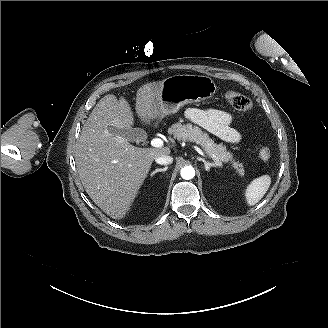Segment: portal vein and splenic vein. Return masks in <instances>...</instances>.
I'll list each match as a JSON object with an SVG mask.
<instances>
[{
	"label": "portal vein and splenic vein",
	"mask_w": 328,
	"mask_h": 328,
	"mask_svg": "<svg viewBox=\"0 0 328 328\" xmlns=\"http://www.w3.org/2000/svg\"><path fill=\"white\" fill-rule=\"evenodd\" d=\"M162 140L159 139V138H153L151 141H150V145L152 147H161L162 146ZM191 147H194L195 150H197L198 154H201V155H204V157H206V159H208V161H211V158H209V155L208 154H205V152H203L200 148H198V146H195L194 143H191Z\"/></svg>",
	"instance_id": "1"
}]
</instances>
